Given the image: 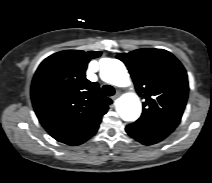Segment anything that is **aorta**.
<instances>
[{
    "label": "aorta",
    "mask_w": 212,
    "mask_h": 183,
    "mask_svg": "<svg viewBox=\"0 0 212 183\" xmlns=\"http://www.w3.org/2000/svg\"><path fill=\"white\" fill-rule=\"evenodd\" d=\"M100 77L103 81L118 87L130 84V77L125 65L113 58H104L100 63ZM116 109L124 121H135L141 114V103L134 93L125 94L118 99Z\"/></svg>",
    "instance_id": "obj_1"
}]
</instances>
